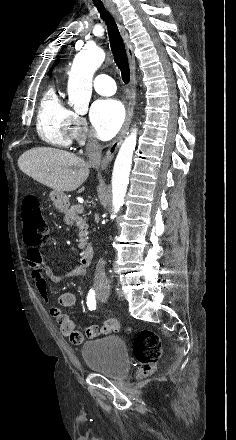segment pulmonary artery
I'll return each mask as SVG.
<instances>
[{"label": "pulmonary artery", "instance_id": "pulmonary-artery-1", "mask_svg": "<svg viewBox=\"0 0 236 440\" xmlns=\"http://www.w3.org/2000/svg\"><path fill=\"white\" fill-rule=\"evenodd\" d=\"M93 86L95 91L100 95H112L116 91L114 80L106 74L97 75L94 79Z\"/></svg>", "mask_w": 236, "mask_h": 440}]
</instances>
